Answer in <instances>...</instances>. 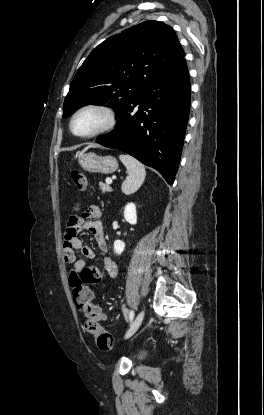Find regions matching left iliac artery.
Here are the masks:
<instances>
[{
	"instance_id": "1",
	"label": "left iliac artery",
	"mask_w": 264,
	"mask_h": 415,
	"mask_svg": "<svg viewBox=\"0 0 264 415\" xmlns=\"http://www.w3.org/2000/svg\"><path fill=\"white\" fill-rule=\"evenodd\" d=\"M133 318H134V311L131 310L130 313H129V319H130V321H132Z\"/></svg>"
}]
</instances>
